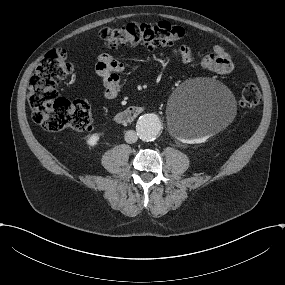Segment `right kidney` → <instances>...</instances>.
<instances>
[{"mask_svg": "<svg viewBox=\"0 0 285 285\" xmlns=\"http://www.w3.org/2000/svg\"><path fill=\"white\" fill-rule=\"evenodd\" d=\"M100 139H101L100 133L88 134V135L86 136L85 143H86V145L89 146V147H94V146L98 145Z\"/></svg>", "mask_w": 285, "mask_h": 285, "instance_id": "right-kidney-1", "label": "right kidney"}]
</instances>
